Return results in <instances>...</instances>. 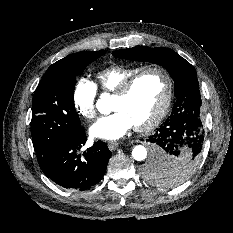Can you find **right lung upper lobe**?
Returning <instances> with one entry per match:
<instances>
[{
  "label": "right lung upper lobe",
  "mask_w": 233,
  "mask_h": 233,
  "mask_svg": "<svg viewBox=\"0 0 233 233\" xmlns=\"http://www.w3.org/2000/svg\"><path fill=\"white\" fill-rule=\"evenodd\" d=\"M75 54H70L68 56H66L65 58L57 61L56 63H54L53 65H51L48 69H56L58 67H60L63 63L68 62L69 60H71V58L74 56Z\"/></svg>",
  "instance_id": "right-lung-upper-lobe-1"
}]
</instances>
